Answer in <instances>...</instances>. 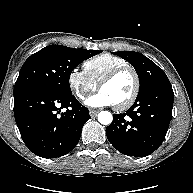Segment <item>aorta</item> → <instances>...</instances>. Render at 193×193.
I'll list each match as a JSON object with an SVG mask.
<instances>
[{"label":"aorta","mask_w":193,"mask_h":193,"mask_svg":"<svg viewBox=\"0 0 193 193\" xmlns=\"http://www.w3.org/2000/svg\"><path fill=\"white\" fill-rule=\"evenodd\" d=\"M112 120H113V116L109 111H101L98 114V121L103 125L111 124Z\"/></svg>","instance_id":"obj_1"}]
</instances>
